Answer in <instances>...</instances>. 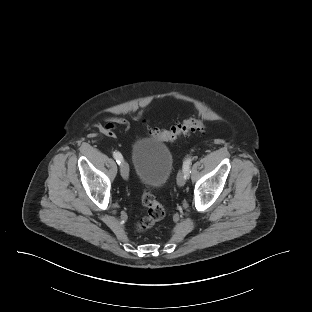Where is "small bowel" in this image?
Listing matches in <instances>:
<instances>
[{"label":"small bowel","instance_id":"c3829d8e","mask_svg":"<svg viewBox=\"0 0 312 312\" xmlns=\"http://www.w3.org/2000/svg\"><path fill=\"white\" fill-rule=\"evenodd\" d=\"M143 116V112L132 116V119L139 120ZM95 128L103 135L109 138H115L117 136L118 126L121 127L122 132H126L129 129V122L119 116H108L105 118L104 123L97 122L94 124Z\"/></svg>","mask_w":312,"mask_h":312}]
</instances>
